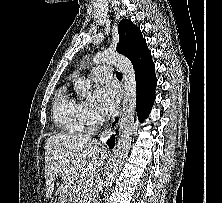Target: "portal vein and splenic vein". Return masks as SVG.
<instances>
[{
  "mask_svg": "<svg viewBox=\"0 0 222 203\" xmlns=\"http://www.w3.org/2000/svg\"><path fill=\"white\" fill-rule=\"evenodd\" d=\"M83 188L86 192L92 191L93 189V183L90 181H87L83 184Z\"/></svg>",
  "mask_w": 222,
  "mask_h": 203,
  "instance_id": "obj_1",
  "label": "portal vein and splenic vein"
}]
</instances>
